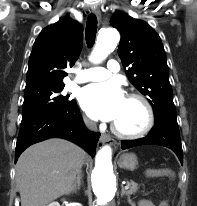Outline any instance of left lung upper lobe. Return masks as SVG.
Segmentation results:
<instances>
[{"mask_svg":"<svg viewBox=\"0 0 197 206\" xmlns=\"http://www.w3.org/2000/svg\"><path fill=\"white\" fill-rule=\"evenodd\" d=\"M121 34L118 54L130 82L153 107L155 122H177L173 92L169 82L166 53L159 35L145 21L123 12L111 18Z\"/></svg>","mask_w":197,"mask_h":206,"instance_id":"obj_1","label":"left lung upper lobe"}]
</instances>
